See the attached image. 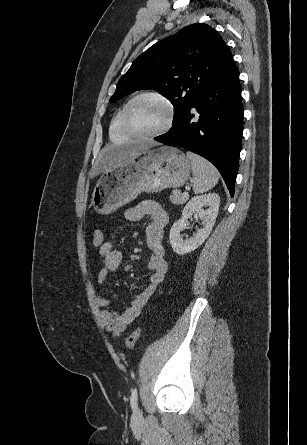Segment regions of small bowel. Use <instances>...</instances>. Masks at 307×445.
Returning <instances> with one entry per match:
<instances>
[{"label":"small bowel","instance_id":"small-bowel-1","mask_svg":"<svg viewBox=\"0 0 307 445\" xmlns=\"http://www.w3.org/2000/svg\"><path fill=\"white\" fill-rule=\"evenodd\" d=\"M147 217L145 226V236L147 247L151 252L147 267L152 274L149 283L144 289L136 294L129 307L118 312L110 308V299L101 295L98 297V305L102 311V321L107 330L113 335L118 336L123 333L129 324H131L141 314L150 297L154 294L158 286L164 280L167 271V262L165 260V249L162 244L164 229L168 222L166 211L154 201H144L136 206L128 208L125 211V219L136 222ZM101 269L98 273V282L105 285L110 275L115 274L122 261V253L114 249L111 242L104 243L99 249Z\"/></svg>","mask_w":307,"mask_h":445}]
</instances>
